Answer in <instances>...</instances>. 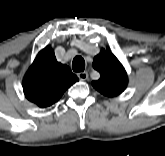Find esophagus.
Returning a JSON list of instances; mask_svg holds the SVG:
<instances>
[{
  "mask_svg": "<svg viewBox=\"0 0 165 156\" xmlns=\"http://www.w3.org/2000/svg\"><path fill=\"white\" fill-rule=\"evenodd\" d=\"M78 78L82 81L87 80L88 78V73L87 72H79L77 74Z\"/></svg>",
  "mask_w": 165,
  "mask_h": 156,
  "instance_id": "esophagus-1",
  "label": "esophagus"
}]
</instances>
